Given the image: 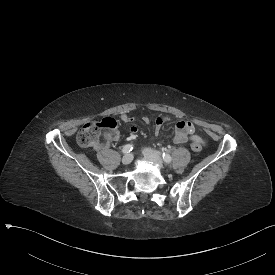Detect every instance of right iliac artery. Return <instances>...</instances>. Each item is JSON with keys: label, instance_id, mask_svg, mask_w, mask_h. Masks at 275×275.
<instances>
[{"label": "right iliac artery", "instance_id": "obj_1", "mask_svg": "<svg viewBox=\"0 0 275 275\" xmlns=\"http://www.w3.org/2000/svg\"><path fill=\"white\" fill-rule=\"evenodd\" d=\"M132 150H133V145H132V144H126V145H124L123 148H122V152H123L124 154L130 153Z\"/></svg>", "mask_w": 275, "mask_h": 275}]
</instances>
